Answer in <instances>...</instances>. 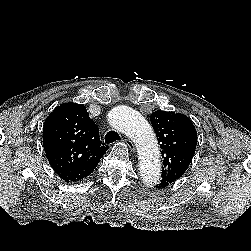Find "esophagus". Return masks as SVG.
<instances>
[{"label":"esophagus","instance_id":"1","mask_svg":"<svg viewBox=\"0 0 251 251\" xmlns=\"http://www.w3.org/2000/svg\"><path fill=\"white\" fill-rule=\"evenodd\" d=\"M123 142L126 143V145L128 146V148L130 149L131 152H135V146L129 138H126V137L123 138Z\"/></svg>","mask_w":251,"mask_h":251}]
</instances>
